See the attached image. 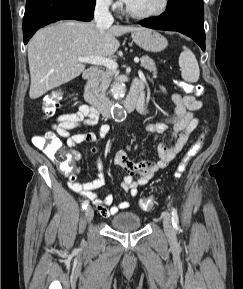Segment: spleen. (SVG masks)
<instances>
[{
    "label": "spleen",
    "mask_w": 243,
    "mask_h": 289,
    "mask_svg": "<svg viewBox=\"0 0 243 289\" xmlns=\"http://www.w3.org/2000/svg\"><path fill=\"white\" fill-rule=\"evenodd\" d=\"M179 66L181 67L182 78L189 83H196L200 76V69L193 52L187 47H183V52L179 56Z\"/></svg>",
    "instance_id": "1"
}]
</instances>
